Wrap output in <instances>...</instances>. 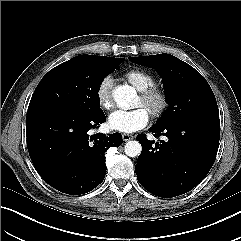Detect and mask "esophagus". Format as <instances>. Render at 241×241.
I'll return each instance as SVG.
<instances>
[{
  "instance_id": "34e87169",
  "label": "esophagus",
  "mask_w": 241,
  "mask_h": 241,
  "mask_svg": "<svg viewBox=\"0 0 241 241\" xmlns=\"http://www.w3.org/2000/svg\"><path fill=\"white\" fill-rule=\"evenodd\" d=\"M133 138L134 136L131 134H122L123 141H129V140H132Z\"/></svg>"
}]
</instances>
